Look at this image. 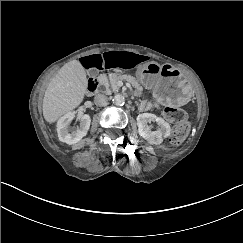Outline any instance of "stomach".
<instances>
[{
  "label": "stomach",
  "mask_w": 243,
  "mask_h": 243,
  "mask_svg": "<svg viewBox=\"0 0 243 243\" xmlns=\"http://www.w3.org/2000/svg\"><path fill=\"white\" fill-rule=\"evenodd\" d=\"M137 79L153 91L158 102L166 106L185 105L192 96V88L187 79L169 64L147 62L138 68Z\"/></svg>",
  "instance_id": "obj_1"
}]
</instances>
